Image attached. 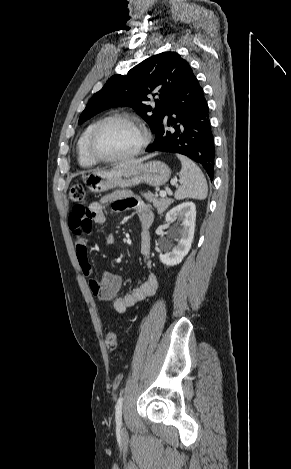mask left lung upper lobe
Listing matches in <instances>:
<instances>
[{
	"label": "left lung upper lobe",
	"instance_id": "obj_1",
	"mask_svg": "<svg viewBox=\"0 0 291 469\" xmlns=\"http://www.w3.org/2000/svg\"><path fill=\"white\" fill-rule=\"evenodd\" d=\"M189 72V63L176 52H163L149 57L127 75L112 76L89 100L78 124L111 107H132L156 132L164 121L168 103L185 83ZM150 94L157 97L153 110L145 104L150 100ZM150 111H153V115L147 114Z\"/></svg>",
	"mask_w": 291,
	"mask_h": 469
}]
</instances>
